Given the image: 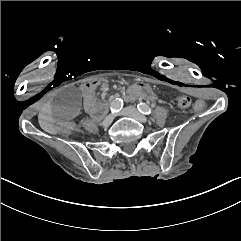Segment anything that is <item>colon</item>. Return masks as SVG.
I'll list each match as a JSON object with an SVG mask.
<instances>
[{
  "mask_svg": "<svg viewBox=\"0 0 241 241\" xmlns=\"http://www.w3.org/2000/svg\"><path fill=\"white\" fill-rule=\"evenodd\" d=\"M191 103V109L197 113H200L202 111H207L209 109V102L207 100H201V99H194L192 102L187 97H178L176 99V104L180 108H188ZM84 114V112L81 110L78 115L81 117Z\"/></svg>",
  "mask_w": 241,
  "mask_h": 241,
  "instance_id": "5ec220e1",
  "label": "colon"
}]
</instances>
